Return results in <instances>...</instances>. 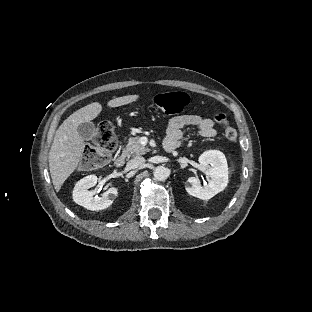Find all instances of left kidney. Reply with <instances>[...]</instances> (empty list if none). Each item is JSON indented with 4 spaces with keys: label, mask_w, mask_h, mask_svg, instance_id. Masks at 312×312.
Returning a JSON list of instances; mask_svg holds the SVG:
<instances>
[{
    "label": "left kidney",
    "mask_w": 312,
    "mask_h": 312,
    "mask_svg": "<svg viewBox=\"0 0 312 312\" xmlns=\"http://www.w3.org/2000/svg\"><path fill=\"white\" fill-rule=\"evenodd\" d=\"M198 161L212 180L208 181V184L205 182V186H202L199 178L189 177L185 183V190L189 195L207 201L226 188L228 184L227 162L224 154L217 150L203 152Z\"/></svg>",
    "instance_id": "5707ae66"
}]
</instances>
